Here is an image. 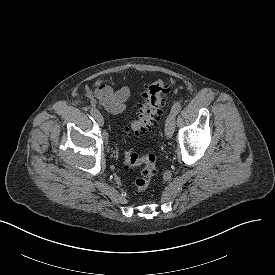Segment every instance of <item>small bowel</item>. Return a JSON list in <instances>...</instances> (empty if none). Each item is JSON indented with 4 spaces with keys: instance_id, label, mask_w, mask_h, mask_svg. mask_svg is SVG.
<instances>
[{
    "instance_id": "1",
    "label": "small bowel",
    "mask_w": 275,
    "mask_h": 275,
    "mask_svg": "<svg viewBox=\"0 0 275 275\" xmlns=\"http://www.w3.org/2000/svg\"><path fill=\"white\" fill-rule=\"evenodd\" d=\"M114 84L115 81L112 79H99L95 83V89L88 91L87 96L94 106L109 113L118 114L127 109L130 91L127 87H121L115 91L112 87Z\"/></svg>"
}]
</instances>
